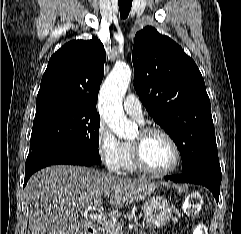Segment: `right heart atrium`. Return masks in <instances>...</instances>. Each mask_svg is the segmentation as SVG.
Segmentation results:
<instances>
[{
	"instance_id": "right-heart-atrium-1",
	"label": "right heart atrium",
	"mask_w": 241,
	"mask_h": 234,
	"mask_svg": "<svg viewBox=\"0 0 241 234\" xmlns=\"http://www.w3.org/2000/svg\"><path fill=\"white\" fill-rule=\"evenodd\" d=\"M96 152L110 172H118L120 169V157L122 142H120L112 130L103 122L99 123L95 135Z\"/></svg>"
}]
</instances>
